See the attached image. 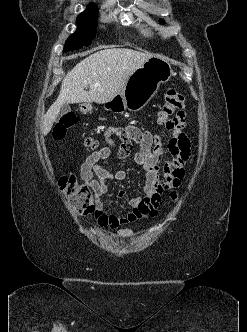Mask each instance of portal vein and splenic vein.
<instances>
[{
  "instance_id": "18ae733b",
  "label": "portal vein and splenic vein",
  "mask_w": 247,
  "mask_h": 332,
  "mask_svg": "<svg viewBox=\"0 0 247 332\" xmlns=\"http://www.w3.org/2000/svg\"><path fill=\"white\" fill-rule=\"evenodd\" d=\"M94 86L98 87V86H99V84H98V83H95V84H94Z\"/></svg>"
}]
</instances>
